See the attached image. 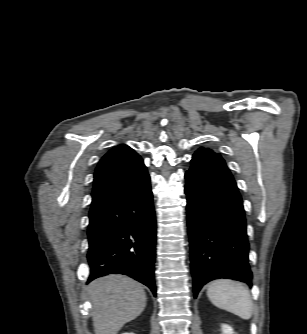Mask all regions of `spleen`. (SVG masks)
<instances>
[{
	"label": "spleen",
	"instance_id": "3e777b00",
	"mask_svg": "<svg viewBox=\"0 0 307 334\" xmlns=\"http://www.w3.org/2000/svg\"><path fill=\"white\" fill-rule=\"evenodd\" d=\"M209 300L218 308L248 320L253 313V302L248 289L228 279L215 280L207 288Z\"/></svg>",
	"mask_w": 307,
	"mask_h": 334
}]
</instances>
